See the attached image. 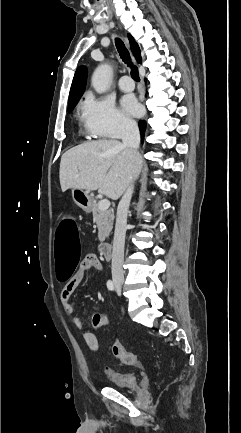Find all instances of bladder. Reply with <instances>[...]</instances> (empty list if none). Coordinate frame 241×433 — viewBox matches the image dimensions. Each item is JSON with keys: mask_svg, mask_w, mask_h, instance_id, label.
Masks as SVG:
<instances>
[{"mask_svg": "<svg viewBox=\"0 0 241 433\" xmlns=\"http://www.w3.org/2000/svg\"><path fill=\"white\" fill-rule=\"evenodd\" d=\"M111 387L121 390L131 389L137 386V378L130 372H113L107 375Z\"/></svg>", "mask_w": 241, "mask_h": 433, "instance_id": "obj_1", "label": "bladder"}]
</instances>
